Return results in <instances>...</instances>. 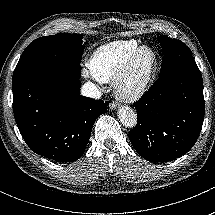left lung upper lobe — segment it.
<instances>
[{"label":"left lung upper lobe","instance_id":"1","mask_svg":"<svg viewBox=\"0 0 215 215\" xmlns=\"http://www.w3.org/2000/svg\"><path fill=\"white\" fill-rule=\"evenodd\" d=\"M158 39L164 54L160 76L184 65L196 63L190 49L183 42L165 36H159Z\"/></svg>","mask_w":215,"mask_h":215}]
</instances>
